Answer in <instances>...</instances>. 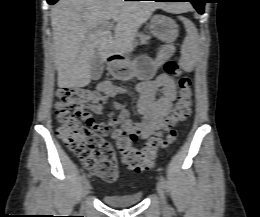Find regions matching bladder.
Here are the masks:
<instances>
[{"instance_id":"bladder-1","label":"bladder","mask_w":260,"mask_h":217,"mask_svg":"<svg viewBox=\"0 0 260 217\" xmlns=\"http://www.w3.org/2000/svg\"><path fill=\"white\" fill-rule=\"evenodd\" d=\"M142 197L141 192L126 195L104 194L102 200L112 207H126L140 203Z\"/></svg>"}]
</instances>
